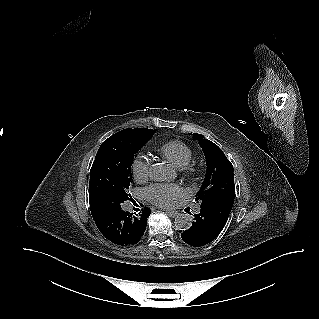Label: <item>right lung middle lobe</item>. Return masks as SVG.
Returning <instances> with one entry per match:
<instances>
[{
    "label": "right lung middle lobe",
    "instance_id": "1",
    "mask_svg": "<svg viewBox=\"0 0 319 319\" xmlns=\"http://www.w3.org/2000/svg\"><path fill=\"white\" fill-rule=\"evenodd\" d=\"M151 130L145 138H137L121 130L100 146L90 170L89 201L129 199L131 166L134 154L153 136Z\"/></svg>",
    "mask_w": 319,
    "mask_h": 319
}]
</instances>
